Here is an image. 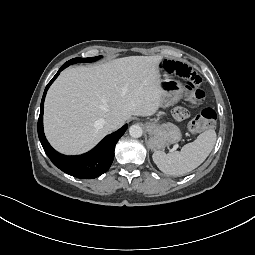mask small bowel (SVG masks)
<instances>
[{
    "label": "small bowel",
    "instance_id": "c3829d8e",
    "mask_svg": "<svg viewBox=\"0 0 255 255\" xmlns=\"http://www.w3.org/2000/svg\"><path fill=\"white\" fill-rule=\"evenodd\" d=\"M172 117L176 122L183 123L188 119L189 112L185 107L178 106L173 110Z\"/></svg>",
    "mask_w": 255,
    "mask_h": 255
}]
</instances>
